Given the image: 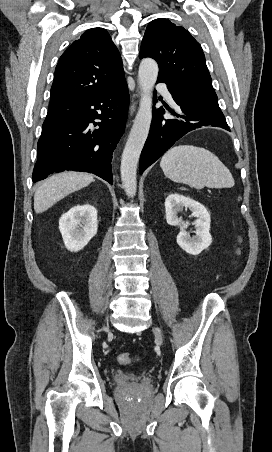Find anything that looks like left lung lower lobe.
<instances>
[{
    "label": "left lung lower lobe",
    "instance_id": "left-lung-lower-lobe-1",
    "mask_svg": "<svg viewBox=\"0 0 272 452\" xmlns=\"http://www.w3.org/2000/svg\"><path fill=\"white\" fill-rule=\"evenodd\" d=\"M160 82L167 84L177 106L175 109L165 106L166 109L160 107L153 111L150 132L140 157V174L192 130L214 126L230 131L218 105L217 95L183 87L172 81L157 80V83ZM166 110L173 115V119L163 117Z\"/></svg>",
    "mask_w": 272,
    "mask_h": 452
}]
</instances>
